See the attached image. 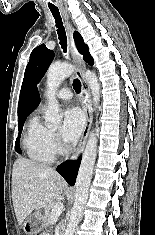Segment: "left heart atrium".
Masks as SVG:
<instances>
[{"instance_id": "1", "label": "left heart atrium", "mask_w": 155, "mask_h": 235, "mask_svg": "<svg viewBox=\"0 0 155 235\" xmlns=\"http://www.w3.org/2000/svg\"><path fill=\"white\" fill-rule=\"evenodd\" d=\"M85 118L82 111L78 108H69L64 112L62 137L67 143L77 141L83 131Z\"/></svg>"}]
</instances>
